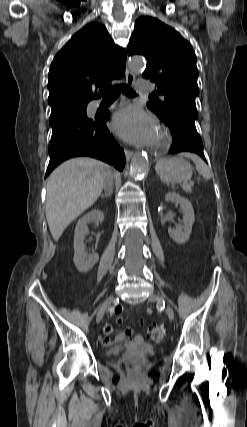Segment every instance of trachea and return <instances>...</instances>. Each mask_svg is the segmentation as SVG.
Segmentation results:
<instances>
[{"instance_id":"trachea-1","label":"trachea","mask_w":247,"mask_h":427,"mask_svg":"<svg viewBox=\"0 0 247 427\" xmlns=\"http://www.w3.org/2000/svg\"><path fill=\"white\" fill-rule=\"evenodd\" d=\"M123 92L126 96L134 97L136 96L135 91L126 84L115 85L114 87L102 90V95L105 98H116L120 95V92Z\"/></svg>"}]
</instances>
